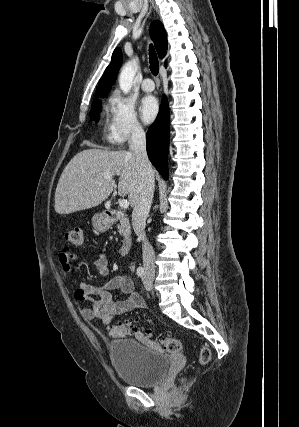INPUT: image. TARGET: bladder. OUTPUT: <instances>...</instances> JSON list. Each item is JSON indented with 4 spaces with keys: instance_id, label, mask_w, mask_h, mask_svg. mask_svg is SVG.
I'll list each match as a JSON object with an SVG mask.
<instances>
[{
    "instance_id": "31cf9c89",
    "label": "bladder",
    "mask_w": 299,
    "mask_h": 427,
    "mask_svg": "<svg viewBox=\"0 0 299 427\" xmlns=\"http://www.w3.org/2000/svg\"><path fill=\"white\" fill-rule=\"evenodd\" d=\"M109 355L117 375L136 387H152L162 381L170 363L166 355L130 338L112 341Z\"/></svg>"
}]
</instances>
